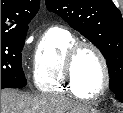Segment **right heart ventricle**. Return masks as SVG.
I'll use <instances>...</instances> for the list:
<instances>
[{
    "mask_svg": "<svg viewBox=\"0 0 123 113\" xmlns=\"http://www.w3.org/2000/svg\"><path fill=\"white\" fill-rule=\"evenodd\" d=\"M76 42L77 38L61 27H52L43 34L33 62V81L39 91L71 93L81 97L71 88L64 71L66 55Z\"/></svg>",
    "mask_w": 123,
    "mask_h": 113,
    "instance_id": "obj_1",
    "label": "right heart ventricle"
}]
</instances>
